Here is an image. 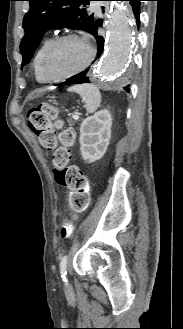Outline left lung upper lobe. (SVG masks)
Returning <instances> with one entry per match:
<instances>
[{"mask_svg":"<svg viewBox=\"0 0 183 329\" xmlns=\"http://www.w3.org/2000/svg\"><path fill=\"white\" fill-rule=\"evenodd\" d=\"M27 1L30 10L24 16L25 35L20 44L22 67L29 63L47 30L69 28L90 32L96 19L94 14H87L83 8L92 0Z\"/></svg>","mask_w":183,"mask_h":329,"instance_id":"left-lung-upper-lobe-1","label":"left lung upper lobe"}]
</instances>
